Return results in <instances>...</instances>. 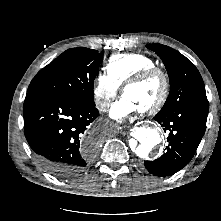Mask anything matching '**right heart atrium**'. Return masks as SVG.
<instances>
[{"mask_svg":"<svg viewBox=\"0 0 221 221\" xmlns=\"http://www.w3.org/2000/svg\"><path fill=\"white\" fill-rule=\"evenodd\" d=\"M120 91V85L106 72H99L95 78L93 94L96 106L106 111Z\"/></svg>","mask_w":221,"mask_h":221,"instance_id":"obj_1","label":"right heart atrium"}]
</instances>
